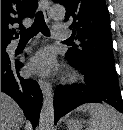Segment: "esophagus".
<instances>
[{
    "instance_id": "obj_1",
    "label": "esophagus",
    "mask_w": 123,
    "mask_h": 130,
    "mask_svg": "<svg viewBox=\"0 0 123 130\" xmlns=\"http://www.w3.org/2000/svg\"><path fill=\"white\" fill-rule=\"evenodd\" d=\"M40 8H41V10L44 14L45 20L47 22H49L50 21V13H49V2H48V0H41ZM38 83L40 85V88H41L43 94L48 95L50 93V90H51L50 83L45 81V80H42V79H39Z\"/></svg>"
}]
</instances>
